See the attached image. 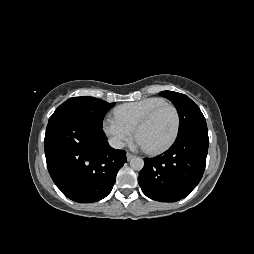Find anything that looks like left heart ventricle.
<instances>
[{"label": "left heart ventricle", "mask_w": 254, "mask_h": 254, "mask_svg": "<svg viewBox=\"0 0 254 254\" xmlns=\"http://www.w3.org/2000/svg\"><path fill=\"white\" fill-rule=\"evenodd\" d=\"M175 127V114L169 107L161 109L155 117L138 132L148 148L164 144L172 135Z\"/></svg>", "instance_id": "b2bd125f"}]
</instances>
